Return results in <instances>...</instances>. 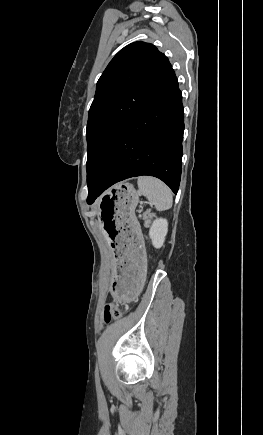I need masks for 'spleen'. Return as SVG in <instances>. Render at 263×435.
<instances>
[{
	"instance_id": "obj_1",
	"label": "spleen",
	"mask_w": 263,
	"mask_h": 435,
	"mask_svg": "<svg viewBox=\"0 0 263 435\" xmlns=\"http://www.w3.org/2000/svg\"><path fill=\"white\" fill-rule=\"evenodd\" d=\"M137 183L140 193L154 205L156 210L163 211L172 206V192L161 180L151 176H141Z\"/></svg>"
}]
</instances>
